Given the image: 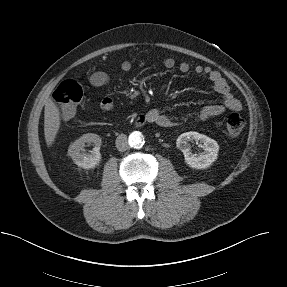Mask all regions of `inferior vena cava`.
I'll return each mask as SVG.
<instances>
[{"mask_svg": "<svg viewBox=\"0 0 287 287\" xmlns=\"http://www.w3.org/2000/svg\"><path fill=\"white\" fill-rule=\"evenodd\" d=\"M116 147L119 151L124 152L128 149V140H127V136L125 134H120L117 138H116Z\"/></svg>", "mask_w": 287, "mask_h": 287, "instance_id": "1", "label": "inferior vena cava"}]
</instances>
